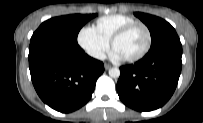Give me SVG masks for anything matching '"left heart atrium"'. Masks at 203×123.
I'll use <instances>...</instances> for the list:
<instances>
[{
  "instance_id": "obj_1",
  "label": "left heart atrium",
  "mask_w": 203,
  "mask_h": 123,
  "mask_svg": "<svg viewBox=\"0 0 203 123\" xmlns=\"http://www.w3.org/2000/svg\"><path fill=\"white\" fill-rule=\"evenodd\" d=\"M112 57L116 60H121V59H124L123 56L118 52L116 51L115 49H113L112 51Z\"/></svg>"
}]
</instances>
